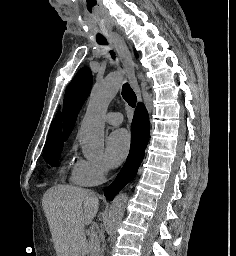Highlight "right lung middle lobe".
Wrapping results in <instances>:
<instances>
[{"label": "right lung middle lobe", "mask_w": 236, "mask_h": 256, "mask_svg": "<svg viewBox=\"0 0 236 256\" xmlns=\"http://www.w3.org/2000/svg\"><path fill=\"white\" fill-rule=\"evenodd\" d=\"M62 148L63 140L56 142H46L43 151L44 160L51 166H56L58 164Z\"/></svg>", "instance_id": "obj_1"}]
</instances>
